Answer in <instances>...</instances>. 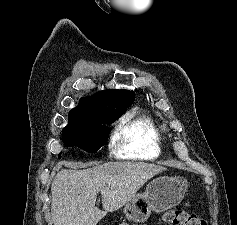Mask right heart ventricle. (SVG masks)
<instances>
[{"label": "right heart ventricle", "mask_w": 237, "mask_h": 225, "mask_svg": "<svg viewBox=\"0 0 237 225\" xmlns=\"http://www.w3.org/2000/svg\"><path fill=\"white\" fill-rule=\"evenodd\" d=\"M116 155L125 159L148 160L162 154V136L147 117L125 118L114 134Z\"/></svg>", "instance_id": "1"}]
</instances>
